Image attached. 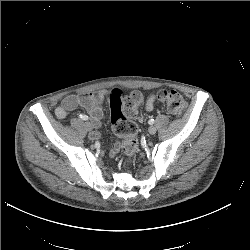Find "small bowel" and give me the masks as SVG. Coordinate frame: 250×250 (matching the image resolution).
I'll return each instance as SVG.
<instances>
[{
	"label": "small bowel",
	"mask_w": 250,
	"mask_h": 250,
	"mask_svg": "<svg viewBox=\"0 0 250 250\" xmlns=\"http://www.w3.org/2000/svg\"><path fill=\"white\" fill-rule=\"evenodd\" d=\"M107 94L108 93L105 91H100L97 93H88L84 95H68L56 108L55 114L58 118L64 119L69 111H73L78 107H82L90 114L93 124L97 128L103 116L102 103L106 99ZM158 101V95H149L145 102V109L147 111H152ZM98 137L99 134L97 132L92 134L93 139H97Z\"/></svg>",
	"instance_id": "1"
}]
</instances>
